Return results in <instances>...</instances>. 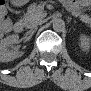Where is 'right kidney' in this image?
Masks as SVG:
<instances>
[{
    "label": "right kidney",
    "mask_w": 91,
    "mask_h": 91,
    "mask_svg": "<svg viewBox=\"0 0 91 91\" xmlns=\"http://www.w3.org/2000/svg\"><path fill=\"white\" fill-rule=\"evenodd\" d=\"M19 36L10 35L0 41V61L9 62L23 55V52L10 50V46L17 44Z\"/></svg>",
    "instance_id": "1"
}]
</instances>
